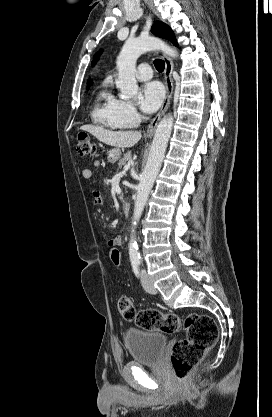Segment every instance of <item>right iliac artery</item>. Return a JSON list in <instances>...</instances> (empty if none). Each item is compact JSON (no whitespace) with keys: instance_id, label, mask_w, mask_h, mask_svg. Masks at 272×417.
Here are the masks:
<instances>
[{"instance_id":"right-iliac-artery-1","label":"right iliac artery","mask_w":272,"mask_h":417,"mask_svg":"<svg viewBox=\"0 0 272 417\" xmlns=\"http://www.w3.org/2000/svg\"><path fill=\"white\" fill-rule=\"evenodd\" d=\"M132 268H133V271H134L136 277L139 278L140 272H139L138 263H132Z\"/></svg>"}]
</instances>
